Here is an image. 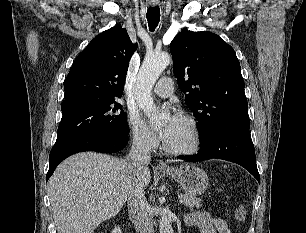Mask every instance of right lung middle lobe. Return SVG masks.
Here are the masks:
<instances>
[{
	"mask_svg": "<svg viewBox=\"0 0 306 233\" xmlns=\"http://www.w3.org/2000/svg\"><path fill=\"white\" fill-rule=\"evenodd\" d=\"M56 143L85 133L128 135L126 114L115 99L79 98L63 102Z\"/></svg>",
	"mask_w": 306,
	"mask_h": 233,
	"instance_id": "1",
	"label": "right lung middle lobe"
}]
</instances>
